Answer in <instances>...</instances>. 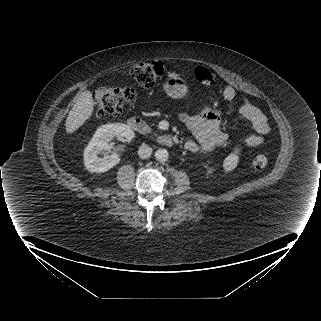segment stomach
<instances>
[{"label":"stomach","instance_id":"obj_1","mask_svg":"<svg viewBox=\"0 0 321 321\" xmlns=\"http://www.w3.org/2000/svg\"><path fill=\"white\" fill-rule=\"evenodd\" d=\"M165 93L173 99H181L187 95L188 87L185 80L177 74H171L163 85Z\"/></svg>","mask_w":321,"mask_h":321}]
</instances>
